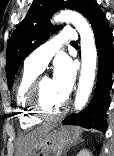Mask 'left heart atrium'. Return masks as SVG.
Listing matches in <instances>:
<instances>
[{
	"label": "left heart atrium",
	"instance_id": "left-heart-atrium-1",
	"mask_svg": "<svg viewBox=\"0 0 114 156\" xmlns=\"http://www.w3.org/2000/svg\"><path fill=\"white\" fill-rule=\"evenodd\" d=\"M76 77L74 62L67 56L58 58L54 64L53 84L57 93L67 99Z\"/></svg>",
	"mask_w": 114,
	"mask_h": 156
}]
</instances>
